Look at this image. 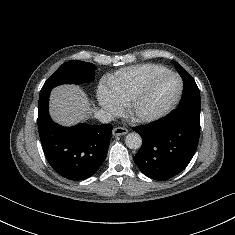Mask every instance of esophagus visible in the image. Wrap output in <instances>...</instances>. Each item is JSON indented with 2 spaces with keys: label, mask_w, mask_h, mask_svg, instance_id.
<instances>
[{
  "label": "esophagus",
  "mask_w": 235,
  "mask_h": 235,
  "mask_svg": "<svg viewBox=\"0 0 235 235\" xmlns=\"http://www.w3.org/2000/svg\"><path fill=\"white\" fill-rule=\"evenodd\" d=\"M127 133H128V129H126L124 127H116L112 131V134L114 136H121V135H125Z\"/></svg>",
  "instance_id": "34e87169"
}]
</instances>
